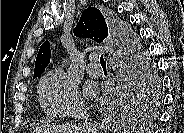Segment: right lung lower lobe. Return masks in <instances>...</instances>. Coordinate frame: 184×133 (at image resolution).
Masks as SVG:
<instances>
[{
    "label": "right lung lower lobe",
    "instance_id": "1",
    "mask_svg": "<svg viewBox=\"0 0 184 133\" xmlns=\"http://www.w3.org/2000/svg\"><path fill=\"white\" fill-rule=\"evenodd\" d=\"M111 29L115 35V38L118 40L120 54L125 64L127 65L129 62V53L132 50L130 38L127 36L124 25H122L121 21L116 19L111 20ZM143 56H146L144 53H141Z\"/></svg>",
    "mask_w": 184,
    "mask_h": 133
}]
</instances>
